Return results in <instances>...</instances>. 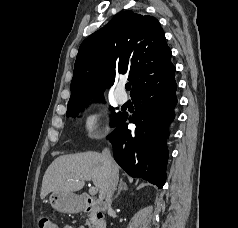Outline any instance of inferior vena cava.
Returning <instances> with one entry per match:
<instances>
[{
  "instance_id": "inferior-vena-cava-1",
  "label": "inferior vena cava",
  "mask_w": 238,
  "mask_h": 228,
  "mask_svg": "<svg viewBox=\"0 0 238 228\" xmlns=\"http://www.w3.org/2000/svg\"><path fill=\"white\" fill-rule=\"evenodd\" d=\"M104 157L105 163L107 165L109 171V180L106 186L105 191V200L108 205L109 211L111 210V203H112V195L116 189V185L118 183V175L115 170V162L111 156L110 150L105 148L102 152Z\"/></svg>"
}]
</instances>
